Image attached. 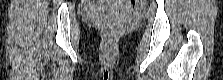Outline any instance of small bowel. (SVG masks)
<instances>
[{
  "label": "small bowel",
  "mask_w": 223,
  "mask_h": 80,
  "mask_svg": "<svg viewBox=\"0 0 223 80\" xmlns=\"http://www.w3.org/2000/svg\"><path fill=\"white\" fill-rule=\"evenodd\" d=\"M88 6H89L90 8H92V7H93V4H92V3H89Z\"/></svg>",
  "instance_id": "c3829d8e"
}]
</instances>
